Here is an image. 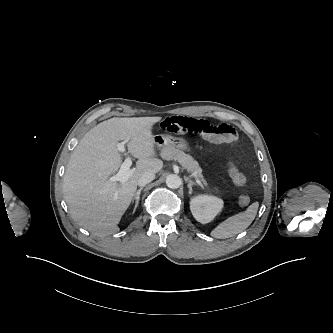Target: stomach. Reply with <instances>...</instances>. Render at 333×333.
Here are the masks:
<instances>
[{"label":"stomach","mask_w":333,"mask_h":333,"mask_svg":"<svg viewBox=\"0 0 333 333\" xmlns=\"http://www.w3.org/2000/svg\"><path fill=\"white\" fill-rule=\"evenodd\" d=\"M155 145L160 149H164L170 146H173L177 149L184 150L187 149V143L182 138H175L171 135H156L155 136Z\"/></svg>","instance_id":"0dacf381"}]
</instances>
